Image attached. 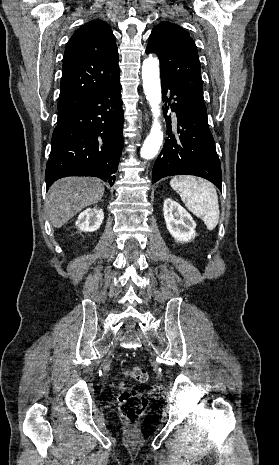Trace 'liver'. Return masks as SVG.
<instances>
[{
	"instance_id": "1",
	"label": "liver",
	"mask_w": 279,
	"mask_h": 465,
	"mask_svg": "<svg viewBox=\"0 0 279 465\" xmlns=\"http://www.w3.org/2000/svg\"><path fill=\"white\" fill-rule=\"evenodd\" d=\"M104 195L101 180L93 177H65L49 189L45 207L51 224L60 228L85 207L96 204Z\"/></svg>"
}]
</instances>
